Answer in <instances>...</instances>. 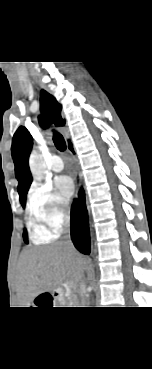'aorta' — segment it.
Here are the masks:
<instances>
[{"mask_svg": "<svg viewBox=\"0 0 152 369\" xmlns=\"http://www.w3.org/2000/svg\"><path fill=\"white\" fill-rule=\"evenodd\" d=\"M29 167L34 179L41 182L46 174L44 161L37 154L32 153L29 159Z\"/></svg>", "mask_w": 152, "mask_h": 369, "instance_id": "aorta-1", "label": "aorta"}]
</instances>
